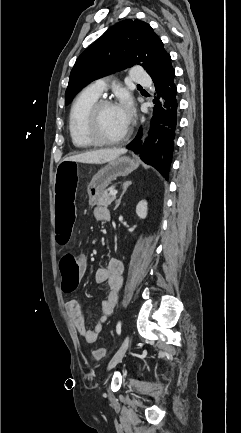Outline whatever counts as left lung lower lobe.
<instances>
[{"instance_id": "left-lung-lower-lobe-1", "label": "left lung lower lobe", "mask_w": 241, "mask_h": 433, "mask_svg": "<svg viewBox=\"0 0 241 433\" xmlns=\"http://www.w3.org/2000/svg\"><path fill=\"white\" fill-rule=\"evenodd\" d=\"M175 71L171 66L165 73L154 79L155 106L148 137L141 140L142 129L127 148L139 154L140 158L155 167L168 178L172 162L175 131L177 128V89L174 83Z\"/></svg>"}]
</instances>
